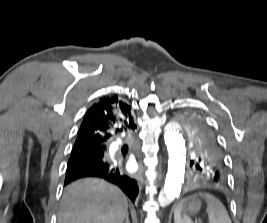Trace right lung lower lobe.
<instances>
[{"instance_id":"98d812e1","label":"right lung lower lobe","mask_w":267,"mask_h":223,"mask_svg":"<svg viewBox=\"0 0 267 223\" xmlns=\"http://www.w3.org/2000/svg\"><path fill=\"white\" fill-rule=\"evenodd\" d=\"M105 153L106 150L101 156L85 158L67 166L64 184L87 177L104 179L119 186L134 202L139 191L137 181L126 175L119 166L114 165Z\"/></svg>"}]
</instances>
